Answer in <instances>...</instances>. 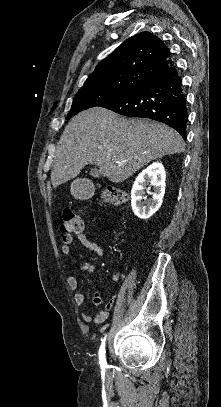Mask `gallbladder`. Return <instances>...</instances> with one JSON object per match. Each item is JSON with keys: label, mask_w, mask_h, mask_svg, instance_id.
Wrapping results in <instances>:
<instances>
[{"label": "gallbladder", "mask_w": 221, "mask_h": 407, "mask_svg": "<svg viewBox=\"0 0 221 407\" xmlns=\"http://www.w3.org/2000/svg\"><path fill=\"white\" fill-rule=\"evenodd\" d=\"M90 174L92 176L99 177L101 175V172H100V170H98L96 168H93V169L90 170Z\"/></svg>", "instance_id": "obj_1"}]
</instances>
